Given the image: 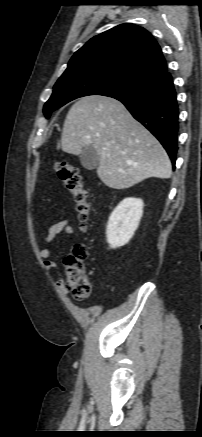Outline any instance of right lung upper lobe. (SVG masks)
Returning a JSON list of instances; mask_svg holds the SVG:
<instances>
[{
  "mask_svg": "<svg viewBox=\"0 0 202 437\" xmlns=\"http://www.w3.org/2000/svg\"><path fill=\"white\" fill-rule=\"evenodd\" d=\"M82 69L123 73L150 83L163 75L167 66L152 35L124 23L90 39L75 52L64 73Z\"/></svg>",
  "mask_w": 202,
  "mask_h": 437,
  "instance_id": "cb5924a9",
  "label": "right lung upper lobe"
}]
</instances>
